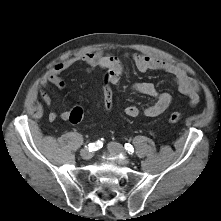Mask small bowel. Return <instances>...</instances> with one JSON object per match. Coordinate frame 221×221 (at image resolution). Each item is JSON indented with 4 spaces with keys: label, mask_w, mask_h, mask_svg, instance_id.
Returning a JSON list of instances; mask_svg holds the SVG:
<instances>
[{
    "label": "small bowel",
    "mask_w": 221,
    "mask_h": 221,
    "mask_svg": "<svg viewBox=\"0 0 221 221\" xmlns=\"http://www.w3.org/2000/svg\"><path fill=\"white\" fill-rule=\"evenodd\" d=\"M124 57L129 59L134 67L140 73H147L153 70H159L169 73L172 76L174 84L179 91L188 97L189 104L196 106L200 101L201 88L200 85L192 80L186 72L175 64H172L160 57L146 55L143 53L126 52ZM78 62H83L87 65L86 70L103 69L105 66H110L114 71V76L111 79L103 77V83L99 88L101 104L103 105L102 87L105 84L111 86L116 85L124 72V65L115 55L104 51L85 52L68 57L57 62L42 78L39 88V95L46 106H51L52 99L48 94V88L53 85L59 89L66 86L65 80L61 77V73L72 67ZM132 92L150 96L155 99V102L144 109L140 110L135 105H129L125 108L126 116L135 118L141 113L146 117H157L161 115L172 103V96L169 92L159 91L156 86L149 82L135 83L131 87ZM70 110L62 111L59 116L63 120H68ZM58 117L56 112L49 114V120L54 121Z\"/></svg>",
    "instance_id": "1"
}]
</instances>
